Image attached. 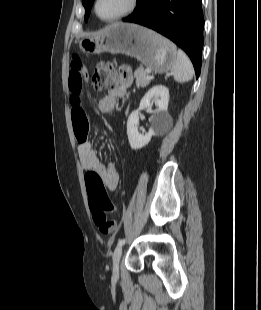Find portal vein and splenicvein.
<instances>
[{
    "mask_svg": "<svg viewBox=\"0 0 261 310\" xmlns=\"http://www.w3.org/2000/svg\"><path fill=\"white\" fill-rule=\"evenodd\" d=\"M147 79H152L153 78V76H151V75H147V77H146Z\"/></svg>",
    "mask_w": 261,
    "mask_h": 310,
    "instance_id": "18ae733b",
    "label": "portal vein and splenic vein"
}]
</instances>
